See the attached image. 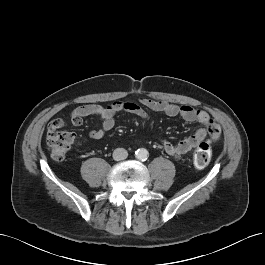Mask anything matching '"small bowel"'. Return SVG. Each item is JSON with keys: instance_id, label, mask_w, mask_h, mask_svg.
<instances>
[{"instance_id": "obj_1", "label": "small bowel", "mask_w": 265, "mask_h": 265, "mask_svg": "<svg viewBox=\"0 0 265 265\" xmlns=\"http://www.w3.org/2000/svg\"><path fill=\"white\" fill-rule=\"evenodd\" d=\"M145 109L153 112L162 113L168 117H181L188 122H198L202 126L195 132L177 142L172 143L166 139H161L163 150L173 158L179 159L193 149L198 143L209 137L218 140L220 137V126L204 110L194 109L191 106H178L165 101H155L148 98H140L138 103L127 101H116L109 106L98 104H88L75 108L70 113V119L74 126H80L83 118L95 116L100 119L101 127L91 130L89 137L92 139L102 138L106 132L110 131L115 125V116L119 113H129L147 120L148 114Z\"/></svg>"}]
</instances>
